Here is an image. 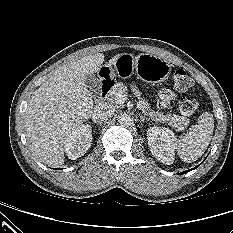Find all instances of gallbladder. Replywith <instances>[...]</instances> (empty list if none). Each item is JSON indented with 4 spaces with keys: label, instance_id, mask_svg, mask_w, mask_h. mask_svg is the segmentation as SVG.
<instances>
[{
    "label": "gallbladder",
    "instance_id": "bac80fb5",
    "mask_svg": "<svg viewBox=\"0 0 233 233\" xmlns=\"http://www.w3.org/2000/svg\"><path fill=\"white\" fill-rule=\"evenodd\" d=\"M85 85L93 97L100 94V80L94 74H88L84 78Z\"/></svg>",
    "mask_w": 233,
    "mask_h": 233
}]
</instances>
